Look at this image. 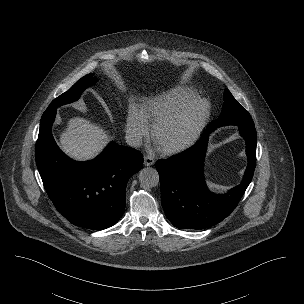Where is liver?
Returning a JSON list of instances; mask_svg holds the SVG:
<instances>
[{
	"mask_svg": "<svg viewBox=\"0 0 304 304\" xmlns=\"http://www.w3.org/2000/svg\"><path fill=\"white\" fill-rule=\"evenodd\" d=\"M110 135L101 126L83 117L69 119L60 135L62 150L75 160L94 158L106 146Z\"/></svg>",
	"mask_w": 304,
	"mask_h": 304,
	"instance_id": "obj_1",
	"label": "liver"
}]
</instances>
